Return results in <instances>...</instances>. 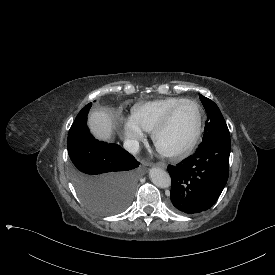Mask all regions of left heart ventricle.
I'll use <instances>...</instances> for the list:
<instances>
[{
  "label": "left heart ventricle",
  "instance_id": "obj_1",
  "mask_svg": "<svg viewBox=\"0 0 275 275\" xmlns=\"http://www.w3.org/2000/svg\"><path fill=\"white\" fill-rule=\"evenodd\" d=\"M196 118L193 105L180 106L174 113L167 130L158 138V145L165 149H174L182 145L193 132Z\"/></svg>",
  "mask_w": 275,
  "mask_h": 275
}]
</instances>
